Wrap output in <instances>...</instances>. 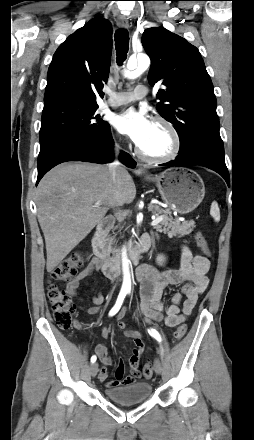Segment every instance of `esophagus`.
Wrapping results in <instances>:
<instances>
[{"label":"esophagus","instance_id":"34e87169","mask_svg":"<svg viewBox=\"0 0 254 440\" xmlns=\"http://www.w3.org/2000/svg\"><path fill=\"white\" fill-rule=\"evenodd\" d=\"M116 22H117V25H118L120 28H128V26H129V21H128V19H127L126 17H124V16H120V17H118ZM138 166H139L138 169H139L140 171H142L143 168L141 167V164H139Z\"/></svg>","mask_w":254,"mask_h":440}]
</instances>
